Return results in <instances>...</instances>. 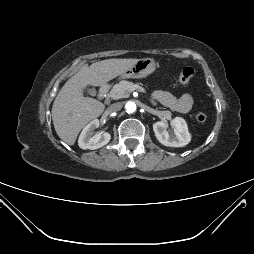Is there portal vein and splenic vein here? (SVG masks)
<instances>
[{"instance_id": "portal-vein-and-splenic-vein-1", "label": "portal vein and splenic vein", "mask_w": 254, "mask_h": 254, "mask_svg": "<svg viewBox=\"0 0 254 254\" xmlns=\"http://www.w3.org/2000/svg\"><path fill=\"white\" fill-rule=\"evenodd\" d=\"M133 90L144 91V89L142 87H140V86L132 88V91Z\"/></svg>"}]
</instances>
